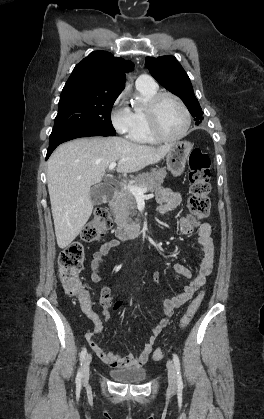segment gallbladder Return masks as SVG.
<instances>
[{
  "instance_id": "1",
  "label": "gallbladder",
  "mask_w": 264,
  "mask_h": 419,
  "mask_svg": "<svg viewBox=\"0 0 264 419\" xmlns=\"http://www.w3.org/2000/svg\"><path fill=\"white\" fill-rule=\"evenodd\" d=\"M109 191V187L106 185L94 186L90 190L91 200L95 205H99L104 202L105 196Z\"/></svg>"
}]
</instances>
